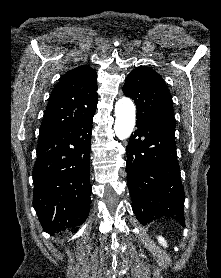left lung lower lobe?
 <instances>
[{"instance_id": "1", "label": "left lung lower lobe", "mask_w": 221, "mask_h": 278, "mask_svg": "<svg viewBox=\"0 0 221 278\" xmlns=\"http://www.w3.org/2000/svg\"><path fill=\"white\" fill-rule=\"evenodd\" d=\"M136 127L126 148L127 184L134 213L143 225L168 217L185 227L175 123L137 121Z\"/></svg>"}]
</instances>
